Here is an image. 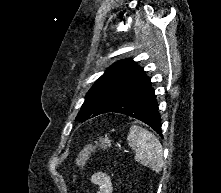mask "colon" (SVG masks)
I'll use <instances>...</instances> for the list:
<instances>
[{"label":"colon","mask_w":221,"mask_h":193,"mask_svg":"<svg viewBox=\"0 0 221 193\" xmlns=\"http://www.w3.org/2000/svg\"><path fill=\"white\" fill-rule=\"evenodd\" d=\"M92 149H93V146H87L78 155V158H77V161H76V166H77L78 169H81L85 165Z\"/></svg>","instance_id":"1"}]
</instances>
